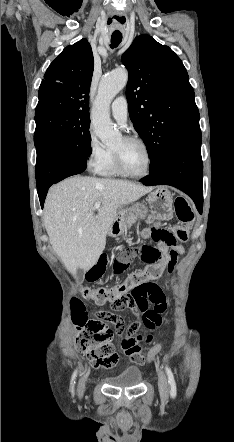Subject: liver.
Instances as JSON below:
<instances>
[{
  "mask_svg": "<svg viewBox=\"0 0 234 442\" xmlns=\"http://www.w3.org/2000/svg\"><path fill=\"white\" fill-rule=\"evenodd\" d=\"M128 181L76 176L52 186L43 223L66 269L88 271L103 253L117 210L152 191ZM101 202L97 215L94 204Z\"/></svg>",
  "mask_w": 234,
  "mask_h": 442,
  "instance_id": "obj_1",
  "label": "liver"
}]
</instances>
